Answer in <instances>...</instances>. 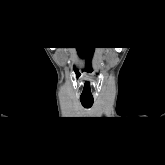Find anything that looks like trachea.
<instances>
[{"instance_id": "obj_1", "label": "trachea", "mask_w": 165, "mask_h": 165, "mask_svg": "<svg viewBox=\"0 0 165 165\" xmlns=\"http://www.w3.org/2000/svg\"><path fill=\"white\" fill-rule=\"evenodd\" d=\"M81 104L84 108H90L93 105V100H83L81 99Z\"/></svg>"}]
</instances>
